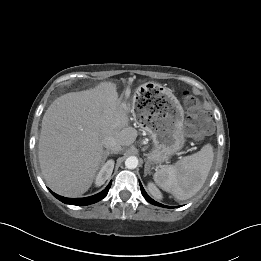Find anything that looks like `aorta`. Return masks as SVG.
I'll use <instances>...</instances> for the list:
<instances>
[{
  "instance_id": "obj_1",
  "label": "aorta",
  "mask_w": 261,
  "mask_h": 261,
  "mask_svg": "<svg viewBox=\"0 0 261 261\" xmlns=\"http://www.w3.org/2000/svg\"><path fill=\"white\" fill-rule=\"evenodd\" d=\"M138 166V158L130 156L125 160V167L128 169H135Z\"/></svg>"
}]
</instances>
